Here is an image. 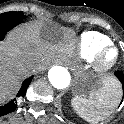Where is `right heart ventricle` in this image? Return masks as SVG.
Returning a JSON list of instances; mask_svg holds the SVG:
<instances>
[{
    "mask_svg": "<svg viewBox=\"0 0 124 124\" xmlns=\"http://www.w3.org/2000/svg\"><path fill=\"white\" fill-rule=\"evenodd\" d=\"M111 44V39L97 31H86L78 36L73 43L75 54L85 61H91L104 46Z\"/></svg>",
    "mask_w": 124,
    "mask_h": 124,
    "instance_id": "obj_1",
    "label": "right heart ventricle"
}]
</instances>
